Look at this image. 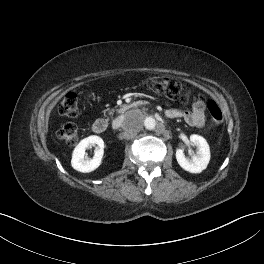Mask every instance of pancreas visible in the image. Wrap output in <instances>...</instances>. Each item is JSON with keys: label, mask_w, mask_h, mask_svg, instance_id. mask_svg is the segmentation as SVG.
I'll use <instances>...</instances> for the list:
<instances>
[{"label": "pancreas", "mask_w": 264, "mask_h": 264, "mask_svg": "<svg viewBox=\"0 0 264 264\" xmlns=\"http://www.w3.org/2000/svg\"><path fill=\"white\" fill-rule=\"evenodd\" d=\"M117 111H118V112H122V110H117ZM114 112H115V109H111V110H109L108 113H109L110 115H113Z\"/></svg>", "instance_id": "obj_1"}]
</instances>
